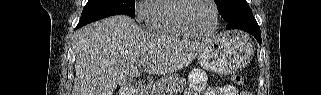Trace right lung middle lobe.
Wrapping results in <instances>:
<instances>
[{"label": "right lung middle lobe", "mask_w": 321, "mask_h": 95, "mask_svg": "<svg viewBox=\"0 0 321 95\" xmlns=\"http://www.w3.org/2000/svg\"><path fill=\"white\" fill-rule=\"evenodd\" d=\"M119 14L135 18V0H88L77 28Z\"/></svg>", "instance_id": "obj_1"}]
</instances>
